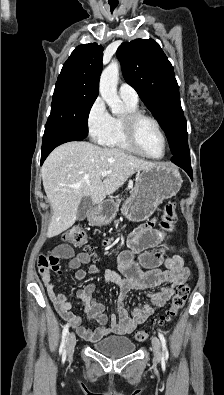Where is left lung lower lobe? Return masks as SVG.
Wrapping results in <instances>:
<instances>
[{
  "mask_svg": "<svg viewBox=\"0 0 224 395\" xmlns=\"http://www.w3.org/2000/svg\"><path fill=\"white\" fill-rule=\"evenodd\" d=\"M171 161L184 169L187 174L193 178L191 163H190V151L188 148V144L181 148L175 155H173Z\"/></svg>",
  "mask_w": 224,
  "mask_h": 395,
  "instance_id": "left-lung-lower-lobe-1",
  "label": "left lung lower lobe"
}]
</instances>
